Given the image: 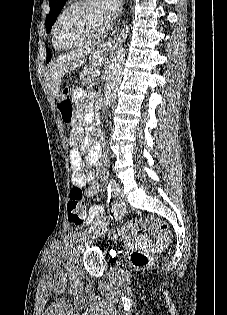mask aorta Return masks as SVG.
Listing matches in <instances>:
<instances>
[{"label":"aorta","instance_id":"aorta-1","mask_svg":"<svg viewBox=\"0 0 227 315\" xmlns=\"http://www.w3.org/2000/svg\"><path fill=\"white\" fill-rule=\"evenodd\" d=\"M124 41V36L117 39L109 68L107 70L104 97V102L106 106L111 105L121 81L122 69L125 60Z\"/></svg>","mask_w":227,"mask_h":315}]
</instances>
